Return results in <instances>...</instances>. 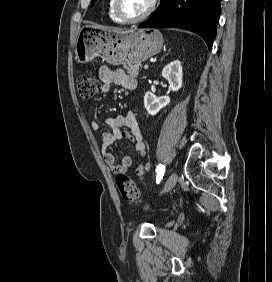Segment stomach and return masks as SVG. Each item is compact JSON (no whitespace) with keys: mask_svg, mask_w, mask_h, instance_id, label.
I'll return each mask as SVG.
<instances>
[{"mask_svg":"<svg viewBox=\"0 0 272 282\" xmlns=\"http://www.w3.org/2000/svg\"><path fill=\"white\" fill-rule=\"evenodd\" d=\"M162 46L163 37L157 30L87 25L77 38L74 52L78 63L101 57L112 65H126L147 60L160 52Z\"/></svg>","mask_w":272,"mask_h":282,"instance_id":"stomach-1","label":"stomach"}]
</instances>
